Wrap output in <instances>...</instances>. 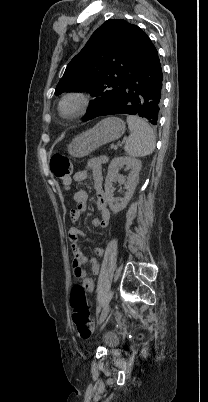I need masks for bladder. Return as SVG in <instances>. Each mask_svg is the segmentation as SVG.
<instances>
[{
  "mask_svg": "<svg viewBox=\"0 0 208 402\" xmlns=\"http://www.w3.org/2000/svg\"><path fill=\"white\" fill-rule=\"evenodd\" d=\"M104 342L107 344L108 347H114V345L119 342V337L117 335L111 334L104 340Z\"/></svg>",
  "mask_w": 208,
  "mask_h": 402,
  "instance_id": "bladder-1",
  "label": "bladder"
}]
</instances>
